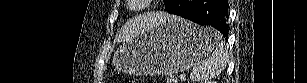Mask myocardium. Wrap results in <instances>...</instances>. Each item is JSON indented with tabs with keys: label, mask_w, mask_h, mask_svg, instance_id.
I'll list each match as a JSON object with an SVG mask.
<instances>
[{
	"label": "myocardium",
	"mask_w": 307,
	"mask_h": 83,
	"mask_svg": "<svg viewBox=\"0 0 307 83\" xmlns=\"http://www.w3.org/2000/svg\"><path fill=\"white\" fill-rule=\"evenodd\" d=\"M130 1V0H129ZM132 8L137 9L138 5H132Z\"/></svg>",
	"instance_id": "f54148a6"
}]
</instances>
